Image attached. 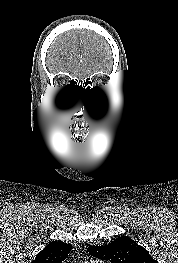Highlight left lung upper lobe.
<instances>
[{"mask_svg":"<svg viewBox=\"0 0 178 263\" xmlns=\"http://www.w3.org/2000/svg\"><path fill=\"white\" fill-rule=\"evenodd\" d=\"M89 254L112 263H158L148 251L129 237H118L108 245L90 246Z\"/></svg>","mask_w":178,"mask_h":263,"instance_id":"1","label":"left lung upper lobe"}]
</instances>
